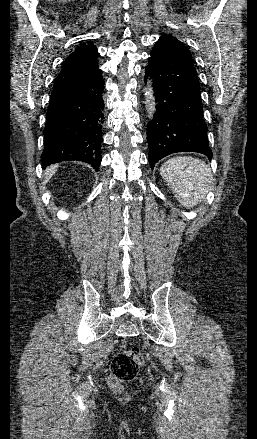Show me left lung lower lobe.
<instances>
[{
	"instance_id": "0a47b994",
	"label": "left lung lower lobe",
	"mask_w": 257,
	"mask_h": 439,
	"mask_svg": "<svg viewBox=\"0 0 257 439\" xmlns=\"http://www.w3.org/2000/svg\"><path fill=\"white\" fill-rule=\"evenodd\" d=\"M153 79L156 112L148 123L149 164L177 152H198L212 158L203 119L201 91L192 58L172 40L153 47L145 81Z\"/></svg>"
}]
</instances>
